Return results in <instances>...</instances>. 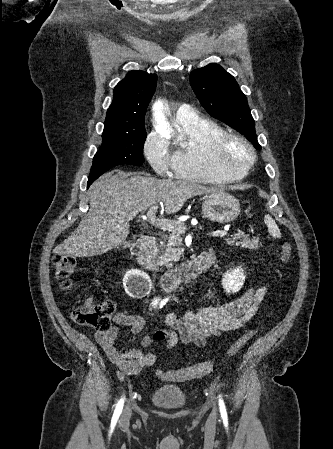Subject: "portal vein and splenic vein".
I'll list each match as a JSON object with an SVG mask.
<instances>
[{"label": "portal vein and splenic vein", "instance_id": "portal-vein-and-splenic-vein-1", "mask_svg": "<svg viewBox=\"0 0 333 449\" xmlns=\"http://www.w3.org/2000/svg\"><path fill=\"white\" fill-rule=\"evenodd\" d=\"M157 209H158V206H157V204H155V205L151 206L147 212V217H148L151 225L161 228L163 230L181 231L183 229V225L179 224L178 222L156 218L155 214H156ZM211 235L213 237H217V236L223 237V236L227 235V232L226 231H215V232H212Z\"/></svg>", "mask_w": 333, "mask_h": 449}]
</instances>
